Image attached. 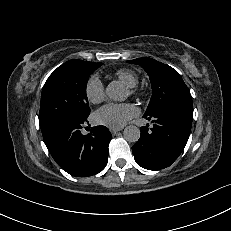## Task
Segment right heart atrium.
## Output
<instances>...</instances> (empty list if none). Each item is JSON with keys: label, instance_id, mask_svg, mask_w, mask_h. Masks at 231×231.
Instances as JSON below:
<instances>
[{"label": "right heart atrium", "instance_id": "1", "mask_svg": "<svg viewBox=\"0 0 231 231\" xmlns=\"http://www.w3.org/2000/svg\"><path fill=\"white\" fill-rule=\"evenodd\" d=\"M85 94L89 102L97 104L103 101L105 90L103 83L97 77L90 78L85 86Z\"/></svg>", "mask_w": 231, "mask_h": 231}]
</instances>
